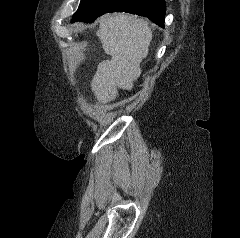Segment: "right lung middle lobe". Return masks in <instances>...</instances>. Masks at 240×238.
Instances as JSON below:
<instances>
[{
	"mask_svg": "<svg viewBox=\"0 0 240 238\" xmlns=\"http://www.w3.org/2000/svg\"><path fill=\"white\" fill-rule=\"evenodd\" d=\"M121 0H81L71 22H92L98 16L109 12Z\"/></svg>",
	"mask_w": 240,
	"mask_h": 238,
	"instance_id": "1",
	"label": "right lung middle lobe"
}]
</instances>
